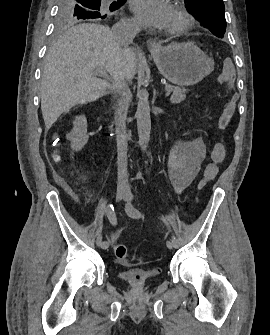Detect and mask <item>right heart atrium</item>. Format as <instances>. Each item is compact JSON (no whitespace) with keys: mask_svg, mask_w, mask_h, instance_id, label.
Segmentation results:
<instances>
[{"mask_svg":"<svg viewBox=\"0 0 270 335\" xmlns=\"http://www.w3.org/2000/svg\"><path fill=\"white\" fill-rule=\"evenodd\" d=\"M118 25H138L137 20L133 17L122 20Z\"/></svg>","mask_w":270,"mask_h":335,"instance_id":"obj_1","label":"right heart atrium"}]
</instances>
